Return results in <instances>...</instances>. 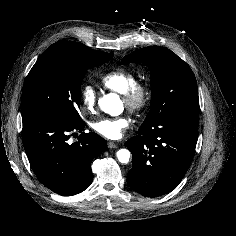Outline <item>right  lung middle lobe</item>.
I'll return each instance as SVG.
<instances>
[{
	"mask_svg": "<svg viewBox=\"0 0 236 236\" xmlns=\"http://www.w3.org/2000/svg\"><path fill=\"white\" fill-rule=\"evenodd\" d=\"M113 53H77L67 41L48 47L30 70L21 101L22 121L36 117L60 118L72 123L78 114L80 87L87 69L108 62Z\"/></svg>",
	"mask_w": 236,
	"mask_h": 236,
	"instance_id": "right-lung-middle-lobe-1",
	"label": "right lung middle lobe"
}]
</instances>
